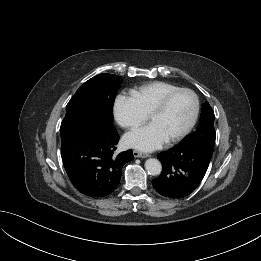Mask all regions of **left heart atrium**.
<instances>
[{
    "mask_svg": "<svg viewBox=\"0 0 261 261\" xmlns=\"http://www.w3.org/2000/svg\"><path fill=\"white\" fill-rule=\"evenodd\" d=\"M168 140L164 132L155 124L137 129L125 135L124 143L126 146L140 151H153L163 146Z\"/></svg>",
    "mask_w": 261,
    "mask_h": 261,
    "instance_id": "39dd6f15",
    "label": "left heart atrium"
}]
</instances>
